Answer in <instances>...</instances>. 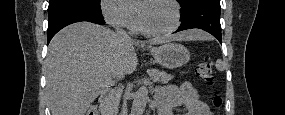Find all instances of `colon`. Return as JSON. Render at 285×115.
<instances>
[{"instance_id":"colon-1","label":"colon","mask_w":285,"mask_h":115,"mask_svg":"<svg viewBox=\"0 0 285 115\" xmlns=\"http://www.w3.org/2000/svg\"><path fill=\"white\" fill-rule=\"evenodd\" d=\"M196 74L200 78L201 81H203L206 84L212 85L214 82L213 78V71L211 68V65L206 62H200L196 66ZM213 106L218 108L221 105V98L218 95H214L212 99ZM98 112L95 107H92L87 112V115H97Z\"/></svg>"}]
</instances>
